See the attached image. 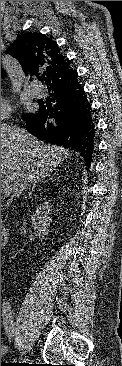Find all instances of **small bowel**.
<instances>
[{"label":"small bowel","instance_id":"small-bowel-1","mask_svg":"<svg viewBox=\"0 0 122 366\" xmlns=\"http://www.w3.org/2000/svg\"><path fill=\"white\" fill-rule=\"evenodd\" d=\"M7 351L6 346H1V356L4 355Z\"/></svg>","mask_w":122,"mask_h":366}]
</instances>
